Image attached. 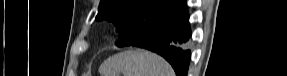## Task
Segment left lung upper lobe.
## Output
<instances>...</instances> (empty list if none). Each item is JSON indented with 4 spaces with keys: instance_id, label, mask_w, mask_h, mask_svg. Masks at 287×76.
Here are the masks:
<instances>
[{
    "instance_id": "1",
    "label": "left lung upper lobe",
    "mask_w": 287,
    "mask_h": 76,
    "mask_svg": "<svg viewBox=\"0 0 287 76\" xmlns=\"http://www.w3.org/2000/svg\"><path fill=\"white\" fill-rule=\"evenodd\" d=\"M185 0H101L97 20L114 23L116 46H128L163 19L180 11Z\"/></svg>"
}]
</instances>
